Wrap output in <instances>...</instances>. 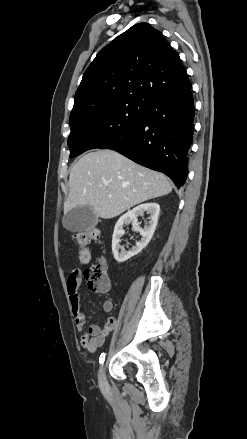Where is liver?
I'll return each mask as SVG.
<instances>
[{"label": "liver", "instance_id": "1", "mask_svg": "<svg viewBox=\"0 0 247 439\" xmlns=\"http://www.w3.org/2000/svg\"><path fill=\"white\" fill-rule=\"evenodd\" d=\"M171 191V182L164 174L115 151L98 150L85 154L71 168L64 213L89 206L96 216L110 219Z\"/></svg>", "mask_w": 247, "mask_h": 439}]
</instances>
